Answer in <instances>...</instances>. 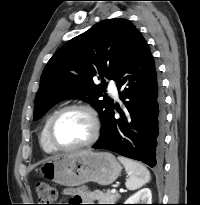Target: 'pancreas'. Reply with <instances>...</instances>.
<instances>
[{"instance_id": "pancreas-1", "label": "pancreas", "mask_w": 200, "mask_h": 205, "mask_svg": "<svg viewBox=\"0 0 200 205\" xmlns=\"http://www.w3.org/2000/svg\"><path fill=\"white\" fill-rule=\"evenodd\" d=\"M91 198L99 201L100 204H114L120 198V194L112 193L110 190L106 192L96 190L91 194Z\"/></svg>"}]
</instances>
